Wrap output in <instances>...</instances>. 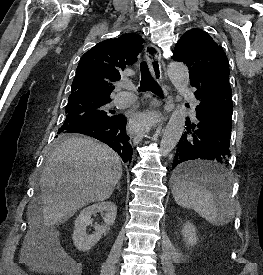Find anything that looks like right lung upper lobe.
Wrapping results in <instances>:
<instances>
[{"label": "right lung upper lobe", "mask_w": 263, "mask_h": 275, "mask_svg": "<svg viewBox=\"0 0 263 275\" xmlns=\"http://www.w3.org/2000/svg\"><path fill=\"white\" fill-rule=\"evenodd\" d=\"M142 48L143 39L136 33L98 43L80 59L70 96L92 94L110 98L114 89L111 82L120 80L119 71L135 63Z\"/></svg>", "instance_id": "cb5924a9"}]
</instances>
